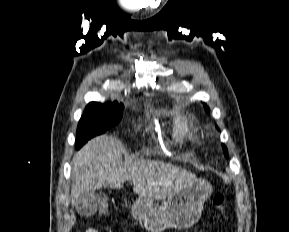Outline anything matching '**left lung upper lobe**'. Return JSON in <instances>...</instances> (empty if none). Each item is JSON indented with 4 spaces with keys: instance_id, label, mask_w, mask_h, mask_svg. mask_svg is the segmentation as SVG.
<instances>
[{
    "instance_id": "obj_1",
    "label": "left lung upper lobe",
    "mask_w": 289,
    "mask_h": 232,
    "mask_svg": "<svg viewBox=\"0 0 289 232\" xmlns=\"http://www.w3.org/2000/svg\"><path fill=\"white\" fill-rule=\"evenodd\" d=\"M204 108H205V110L207 112H209V107L206 104H204ZM223 150H224L225 157H227L228 156V152H227V148L225 147V145H223Z\"/></svg>"
}]
</instances>
